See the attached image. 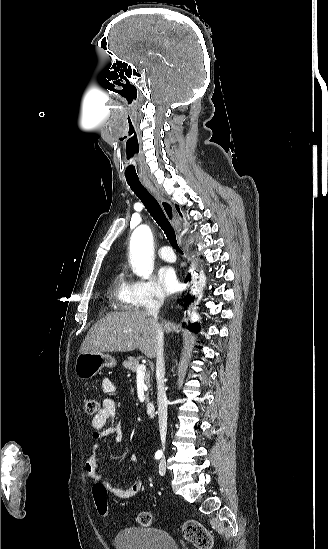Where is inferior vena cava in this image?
I'll return each instance as SVG.
<instances>
[{
  "label": "inferior vena cava",
  "mask_w": 328,
  "mask_h": 549,
  "mask_svg": "<svg viewBox=\"0 0 328 549\" xmlns=\"http://www.w3.org/2000/svg\"><path fill=\"white\" fill-rule=\"evenodd\" d=\"M163 305L162 299H150L145 305L146 315H151L154 321H158L159 311ZM156 381H157V403H158V417H159V431L160 439L162 441V449H165L166 435H167V409L168 401L166 397L165 385H164V355H163V333L157 325L156 329Z\"/></svg>",
  "instance_id": "1"
}]
</instances>
